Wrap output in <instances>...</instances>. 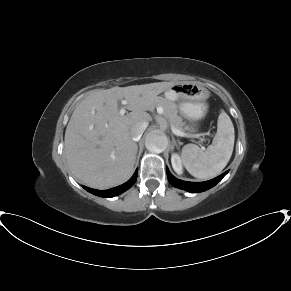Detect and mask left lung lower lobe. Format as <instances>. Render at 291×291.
I'll use <instances>...</instances> for the list:
<instances>
[{
  "instance_id": "0a47b994",
  "label": "left lung lower lobe",
  "mask_w": 291,
  "mask_h": 291,
  "mask_svg": "<svg viewBox=\"0 0 291 291\" xmlns=\"http://www.w3.org/2000/svg\"><path fill=\"white\" fill-rule=\"evenodd\" d=\"M226 174H227V172L223 173L222 175H220L212 180L206 181V182H186V181L178 180L177 178H175L167 169V177H168V181L170 182V184H172L174 187L186 190V191L191 192V193L203 192V191H206V190L212 188Z\"/></svg>"
}]
</instances>
